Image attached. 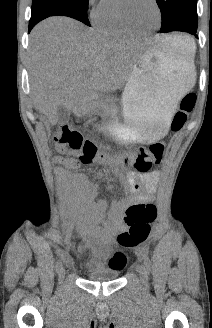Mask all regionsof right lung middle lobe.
<instances>
[{"mask_svg":"<svg viewBox=\"0 0 212 328\" xmlns=\"http://www.w3.org/2000/svg\"><path fill=\"white\" fill-rule=\"evenodd\" d=\"M89 0H33L32 9L37 7L62 8L71 11L76 19L90 26L87 7Z\"/></svg>","mask_w":212,"mask_h":328,"instance_id":"1","label":"right lung middle lobe"}]
</instances>
